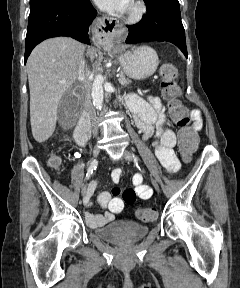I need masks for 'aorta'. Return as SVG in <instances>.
<instances>
[{
	"label": "aorta",
	"mask_w": 240,
	"mask_h": 288,
	"mask_svg": "<svg viewBox=\"0 0 240 288\" xmlns=\"http://www.w3.org/2000/svg\"><path fill=\"white\" fill-rule=\"evenodd\" d=\"M103 76L97 75L93 81L92 85V99L94 106L101 110L103 107Z\"/></svg>",
	"instance_id": "1"
}]
</instances>
